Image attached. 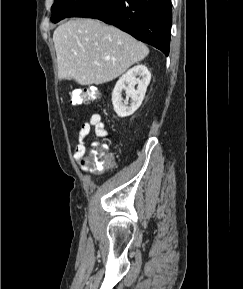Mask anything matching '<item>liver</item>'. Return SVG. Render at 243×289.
<instances>
[{"label":"liver","mask_w":243,"mask_h":289,"mask_svg":"<svg viewBox=\"0 0 243 289\" xmlns=\"http://www.w3.org/2000/svg\"><path fill=\"white\" fill-rule=\"evenodd\" d=\"M60 79L100 85L144 59L149 49L131 35L95 19L77 18L53 33Z\"/></svg>","instance_id":"obj_1"}]
</instances>
